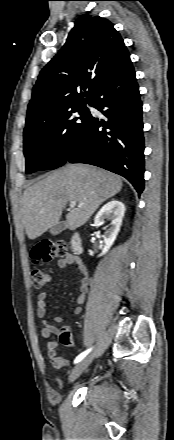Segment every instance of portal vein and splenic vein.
Returning a JSON list of instances; mask_svg holds the SVG:
<instances>
[{"label": "portal vein and splenic vein", "mask_w": 174, "mask_h": 440, "mask_svg": "<svg viewBox=\"0 0 174 440\" xmlns=\"http://www.w3.org/2000/svg\"><path fill=\"white\" fill-rule=\"evenodd\" d=\"M75 206H76V201H71V202H70V207H75ZM78 206H79V207H82L83 204L80 203Z\"/></svg>", "instance_id": "obj_1"}]
</instances>
